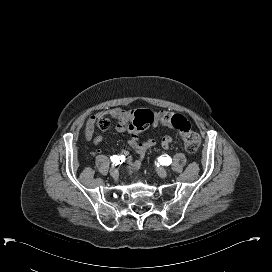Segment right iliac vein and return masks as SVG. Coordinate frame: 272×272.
<instances>
[{"instance_id":"63e3f726","label":"right iliac vein","mask_w":272,"mask_h":272,"mask_svg":"<svg viewBox=\"0 0 272 272\" xmlns=\"http://www.w3.org/2000/svg\"><path fill=\"white\" fill-rule=\"evenodd\" d=\"M118 170L116 168H112L110 170V175L113 177V178H117L118 177Z\"/></svg>"}]
</instances>
